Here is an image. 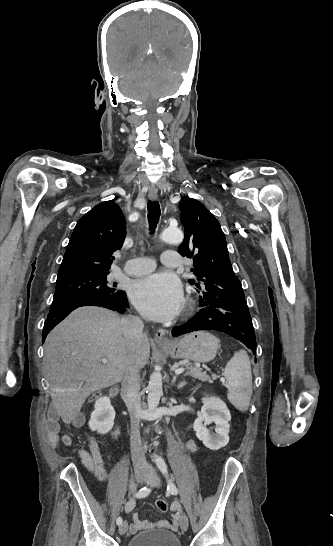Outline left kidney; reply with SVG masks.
I'll list each match as a JSON object with an SVG mask.
<instances>
[{"mask_svg":"<svg viewBox=\"0 0 333 546\" xmlns=\"http://www.w3.org/2000/svg\"><path fill=\"white\" fill-rule=\"evenodd\" d=\"M203 406L193 428L196 436L211 450H219L229 442L231 414L224 401L218 397L202 398ZM215 424V434L211 433L206 425Z\"/></svg>","mask_w":333,"mask_h":546,"instance_id":"obj_1","label":"left kidney"}]
</instances>
